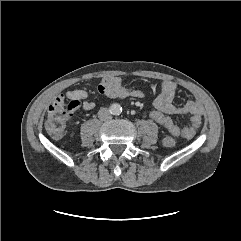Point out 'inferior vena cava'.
Listing matches in <instances>:
<instances>
[{
	"mask_svg": "<svg viewBox=\"0 0 241 241\" xmlns=\"http://www.w3.org/2000/svg\"><path fill=\"white\" fill-rule=\"evenodd\" d=\"M98 117L102 121H107L112 118V115L107 108H101L98 112Z\"/></svg>",
	"mask_w": 241,
	"mask_h": 241,
	"instance_id": "inferior-vena-cava-1",
	"label": "inferior vena cava"
}]
</instances>
